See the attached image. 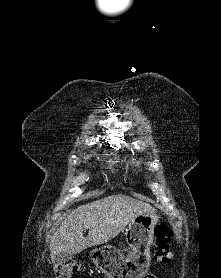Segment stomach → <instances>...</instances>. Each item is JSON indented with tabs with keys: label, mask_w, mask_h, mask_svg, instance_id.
Masks as SVG:
<instances>
[{
	"label": "stomach",
	"mask_w": 221,
	"mask_h": 278,
	"mask_svg": "<svg viewBox=\"0 0 221 278\" xmlns=\"http://www.w3.org/2000/svg\"><path fill=\"white\" fill-rule=\"evenodd\" d=\"M157 223L155 213L140 214L130 221L125 239L132 249L131 257L108 245L92 250L91 259L108 278H145L149 272V249Z\"/></svg>",
	"instance_id": "0dacf381"
}]
</instances>
